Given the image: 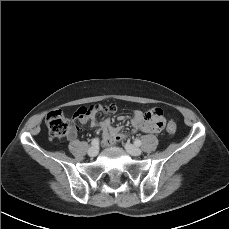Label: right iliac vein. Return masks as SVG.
<instances>
[{
  "mask_svg": "<svg viewBox=\"0 0 229 229\" xmlns=\"http://www.w3.org/2000/svg\"><path fill=\"white\" fill-rule=\"evenodd\" d=\"M98 154V148L97 147H91L88 150V155L90 157H95Z\"/></svg>",
  "mask_w": 229,
  "mask_h": 229,
  "instance_id": "right-iliac-vein-1",
  "label": "right iliac vein"
}]
</instances>
